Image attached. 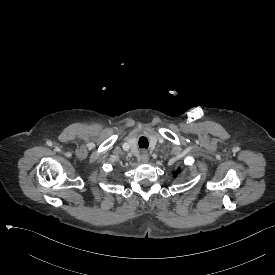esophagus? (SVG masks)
I'll return each mask as SVG.
<instances>
[{
  "mask_svg": "<svg viewBox=\"0 0 275 275\" xmlns=\"http://www.w3.org/2000/svg\"><path fill=\"white\" fill-rule=\"evenodd\" d=\"M149 160V155L147 153V151H142L141 152V161L142 163H147Z\"/></svg>",
  "mask_w": 275,
  "mask_h": 275,
  "instance_id": "esophagus-1",
  "label": "esophagus"
}]
</instances>
